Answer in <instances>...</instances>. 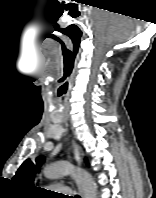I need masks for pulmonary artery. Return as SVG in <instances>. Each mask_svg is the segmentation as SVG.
<instances>
[{
    "label": "pulmonary artery",
    "mask_w": 156,
    "mask_h": 198,
    "mask_svg": "<svg viewBox=\"0 0 156 198\" xmlns=\"http://www.w3.org/2000/svg\"><path fill=\"white\" fill-rule=\"evenodd\" d=\"M53 189H55L56 191H60L62 193H67L69 191V188L66 186H61V185H56L52 187Z\"/></svg>",
    "instance_id": "pulmonary-artery-1"
}]
</instances>
